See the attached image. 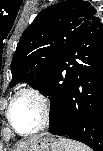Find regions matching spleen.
<instances>
[{
  "mask_svg": "<svg viewBox=\"0 0 103 151\" xmlns=\"http://www.w3.org/2000/svg\"><path fill=\"white\" fill-rule=\"evenodd\" d=\"M65 151H92L88 146L69 138H59Z\"/></svg>",
  "mask_w": 103,
  "mask_h": 151,
  "instance_id": "1",
  "label": "spleen"
}]
</instances>
